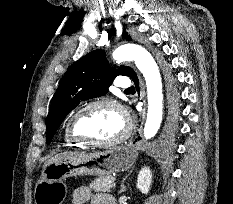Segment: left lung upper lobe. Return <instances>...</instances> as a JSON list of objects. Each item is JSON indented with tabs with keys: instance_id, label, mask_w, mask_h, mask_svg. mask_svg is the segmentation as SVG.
<instances>
[{
	"instance_id": "left-lung-upper-lobe-1",
	"label": "left lung upper lobe",
	"mask_w": 233,
	"mask_h": 204,
	"mask_svg": "<svg viewBox=\"0 0 233 204\" xmlns=\"http://www.w3.org/2000/svg\"><path fill=\"white\" fill-rule=\"evenodd\" d=\"M123 37L131 40L127 32H123ZM133 74L134 70L128 66L118 70L111 68L103 50L92 51L76 61L64 74L51 100L46 124L47 144L79 102L105 95L117 75L132 77Z\"/></svg>"
}]
</instances>
